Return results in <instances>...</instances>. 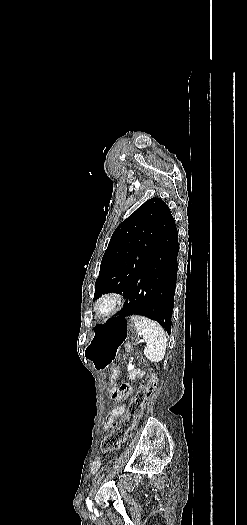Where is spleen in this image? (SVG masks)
<instances>
[{"label":"spleen","instance_id":"spleen-1","mask_svg":"<svg viewBox=\"0 0 247 525\" xmlns=\"http://www.w3.org/2000/svg\"><path fill=\"white\" fill-rule=\"evenodd\" d=\"M131 319L135 323L136 331L142 335L146 343L144 349L146 359H149L151 363L162 361L166 353L167 339L161 325L146 317H138V315H133Z\"/></svg>","mask_w":247,"mask_h":525}]
</instances>
